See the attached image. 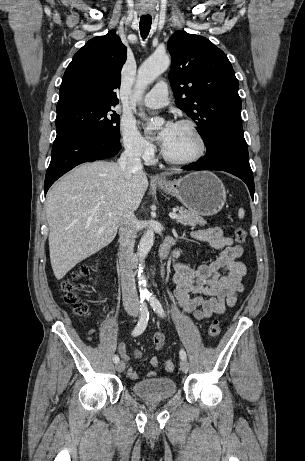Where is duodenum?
<instances>
[{"label":"duodenum","instance_id":"duodenum-1","mask_svg":"<svg viewBox=\"0 0 305 461\" xmlns=\"http://www.w3.org/2000/svg\"><path fill=\"white\" fill-rule=\"evenodd\" d=\"M174 244L175 240L173 238L166 239L159 247V256L163 259L166 258Z\"/></svg>","mask_w":305,"mask_h":461}]
</instances>
